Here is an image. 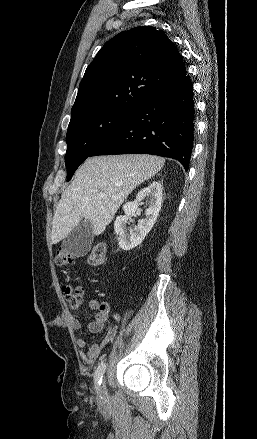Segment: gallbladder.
<instances>
[{"mask_svg":"<svg viewBox=\"0 0 257 439\" xmlns=\"http://www.w3.org/2000/svg\"><path fill=\"white\" fill-rule=\"evenodd\" d=\"M93 242V229L89 222H82L76 226L63 240L62 247L65 251L76 257L85 256L91 249Z\"/></svg>","mask_w":257,"mask_h":439,"instance_id":"obj_1","label":"gallbladder"}]
</instances>
